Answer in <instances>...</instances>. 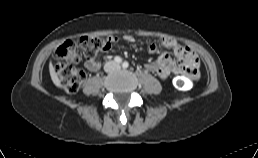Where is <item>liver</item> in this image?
Returning a JSON list of instances; mask_svg holds the SVG:
<instances>
[{
	"mask_svg": "<svg viewBox=\"0 0 258 158\" xmlns=\"http://www.w3.org/2000/svg\"><path fill=\"white\" fill-rule=\"evenodd\" d=\"M49 72H50V76L51 79L53 81V83L57 86V87H61V81L58 78L57 73L55 72V68L53 67L52 63L50 62L49 64Z\"/></svg>",
	"mask_w": 258,
	"mask_h": 158,
	"instance_id": "liver-1",
	"label": "liver"
}]
</instances>
